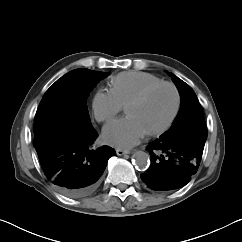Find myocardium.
I'll return each mask as SVG.
<instances>
[{
	"label": "myocardium",
	"mask_w": 242,
	"mask_h": 242,
	"mask_svg": "<svg viewBox=\"0 0 242 242\" xmlns=\"http://www.w3.org/2000/svg\"><path fill=\"white\" fill-rule=\"evenodd\" d=\"M163 85L169 86L173 89V91L175 93V98H176L175 108L173 110L171 117L165 124H163L162 126L156 128L154 130L146 132V135L150 136V137L157 136V135H160V134L166 132L174 124V122L179 114L180 108H181V94H180L178 87L170 81L161 80V81L151 84L148 87H146L145 89H143L138 95H136L134 98H132L126 104V111H127L129 109V107L144 101L153 90H155L156 88L163 86Z\"/></svg>",
	"instance_id": "myocardium-1"
}]
</instances>
